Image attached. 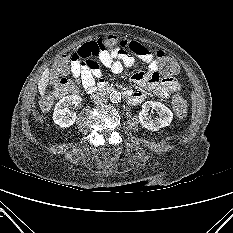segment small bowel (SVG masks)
<instances>
[{
    "label": "small bowel",
    "instance_id": "1",
    "mask_svg": "<svg viewBox=\"0 0 233 233\" xmlns=\"http://www.w3.org/2000/svg\"><path fill=\"white\" fill-rule=\"evenodd\" d=\"M120 46L115 50L97 49L89 55L91 46L98 47L100 41L89 42L80 46L72 56L70 72L86 92L93 93L98 87L105 85L98 64L90 59L96 56L100 63L113 73H122L125 68L135 64V57L147 64L143 71L134 72L131 80L136 84L152 90L156 97L168 99L171 93L180 89L178 81L172 77H163L160 74L159 63L153 51L147 46L136 42L119 39ZM126 99L130 104H139L144 101L142 91H127Z\"/></svg>",
    "mask_w": 233,
    "mask_h": 233
}]
</instances>
